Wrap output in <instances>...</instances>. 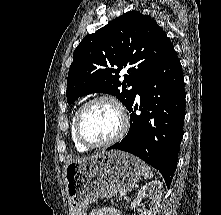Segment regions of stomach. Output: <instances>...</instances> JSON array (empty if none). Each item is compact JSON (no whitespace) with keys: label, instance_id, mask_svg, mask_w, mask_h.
<instances>
[{"label":"stomach","instance_id":"0dacf381","mask_svg":"<svg viewBox=\"0 0 221 215\" xmlns=\"http://www.w3.org/2000/svg\"><path fill=\"white\" fill-rule=\"evenodd\" d=\"M142 176V162L123 151H103L67 164L69 215H86L90 203L130 191Z\"/></svg>","mask_w":221,"mask_h":215}]
</instances>
